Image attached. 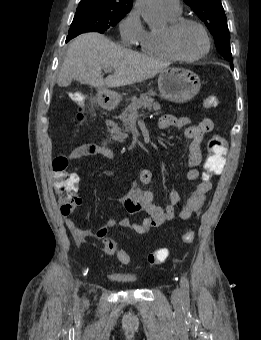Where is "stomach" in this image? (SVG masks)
Segmentation results:
<instances>
[{"instance_id":"obj_1","label":"stomach","mask_w":261,"mask_h":340,"mask_svg":"<svg viewBox=\"0 0 261 340\" xmlns=\"http://www.w3.org/2000/svg\"><path fill=\"white\" fill-rule=\"evenodd\" d=\"M158 88L163 99L175 103H184L198 94L201 81L194 72L173 67L160 72ZM122 98L121 94L108 89H101L98 93V101L106 109L117 106Z\"/></svg>"}]
</instances>
